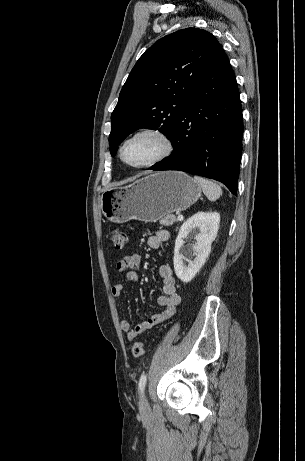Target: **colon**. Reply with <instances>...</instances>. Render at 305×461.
Listing matches in <instances>:
<instances>
[{"instance_id": "colon-1", "label": "colon", "mask_w": 305, "mask_h": 461, "mask_svg": "<svg viewBox=\"0 0 305 461\" xmlns=\"http://www.w3.org/2000/svg\"><path fill=\"white\" fill-rule=\"evenodd\" d=\"M109 238L111 242L113 243L115 249L121 251L125 249L127 242H128V236L126 233L119 231V230H111L109 232ZM132 354L134 357H140L144 353V345L142 342H135L132 345L131 348Z\"/></svg>"}]
</instances>
